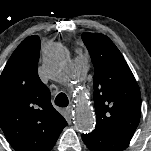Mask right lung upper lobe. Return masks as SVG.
Returning a JSON list of instances; mask_svg holds the SVG:
<instances>
[{"label":"right lung upper lobe","instance_id":"1","mask_svg":"<svg viewBox=\"0 0 151 151\" xmlns=\"http://www.w3.org/2000/svg\"><path fill=\"white\" fill-rule=\"evenodd\" d=\"M40 38H25L0 76V128L16 151H50L67 125L38 76Z\"/></svg>","mask_w":151,"mask_h":151}]
</instances>
